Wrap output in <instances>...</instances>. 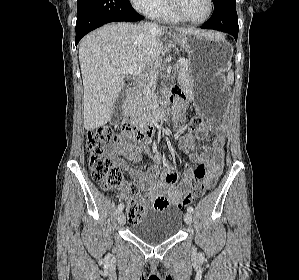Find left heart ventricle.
I'll return each mask as SVG.
<instances>
[{"mask_svg": "<svg viewBox=\"0 0 299 280\" xmlns=\"http://www.w3.org/2000/svg\"><path fill=\"white\" fill-rule=\"evenodd\" d=\"M187 17L192 20L202 19L208 12V0H179Z\"/></svg>", "mask_w": 299, "mask_h": 280, "instance_id": "1", "label": "left heart ventricle"}]
</instances>
